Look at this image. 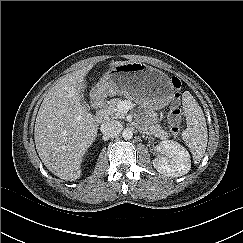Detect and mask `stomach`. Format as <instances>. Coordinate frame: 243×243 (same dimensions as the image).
<instances>
[{"label": "stomach", "instance_id": "1", "mask_svg": "<svg viewBox=\"0 0 243 243\" xmlns=\"http://www.w3.org/2000/svg\"><path fill=\"white\" fill-rule=\"evenodd\" d=\"M173 86L162 71L138 61L110 67L94 92L100 97L124 95L149 108L159 110L169 104Z\"/></svg>", "mask_w": 243, "mask_h": 243}]
</instances>
